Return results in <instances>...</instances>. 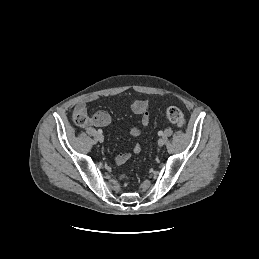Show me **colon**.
Returning a JSON list of instances; mask_svg holds the SVG:
<instances>
[{"instance_id":"5ec220e1","label":"colon","mask_w":259,"mask_h":259,"mask_svg":"<svg viewBox=\"0 0 259 259\" xmlns=\"http://www.w3.org/2000/svg\"><path fill=\"white\" fill-rule=\"evenodd\" d=\"M163 116L172 124L176 125L177 127H183L185 125V117L182 111L175 107L170 106L162 111ZM75 121L79 125H85L87 122V116L85 115H76ZM127 175L125 173L121 174V179L126 180Z\"/></svg>"}]
</instances>
